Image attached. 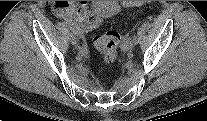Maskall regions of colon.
<instances>
[{
    "label": "colon",
    "mask_w": 207,
    "mask_h": 121,
    "mask_svg": "<svg viewBox=\"0 0 207 121\" xmlns=\"http://www.w3.org/2000/svg\"><path fill=\"white\" fill-rule=\"evenodd\" d=\"M132 4L136 5L137 2H132ZM119 41L120 35L116 31H109L106 34L96 36L94 46L106 62L112 63L118 55Z\"/></svg>",
    "instance_id": "1"
}]
</instances>
